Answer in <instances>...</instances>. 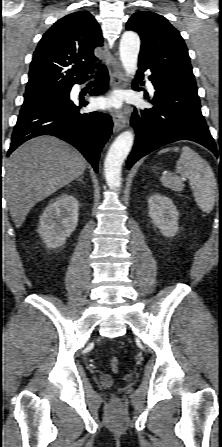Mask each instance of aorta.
Listing matches in <instances>:
<instances>
[{"label": "aorta", "mask_w": 222, "mask_h": 447, "mask_svg": "<svg viewBox=\"0 0 222 447\" xmlns=\"http://www.w3.org/2000/svg\"><path fill=\"white\" fill-rule=\"evenodd\" d=\"M140 50V38L133 31L123 33L120 40L119 54L123 68L128 76L133 77L137 70ZM134 141L132 131L122 132L112 143L104 161V173L108 186L116 189L121 186L122 164L128 156Z\"/></svg>", "instance_id": "762f6f07"}]
</instances>
